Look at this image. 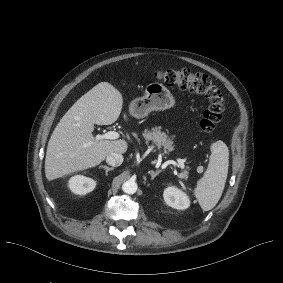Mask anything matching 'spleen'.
Returning <instances> with one entry per match:
<instances>
[{
    "mask_svg": "<svg viewBox=\"0 0 283 283\" xmlns=\"http://www.w3.org/2000/svg\"><path fill=\"white\" fill-rule=\"evenodd\" d=\"M210 161L204 176L197 182L194 194L203 211H209L216 206L225 187L229 151L223 141H217L210 147Z\"/></svg>",
    "mask_w": 283,
    "mask_h": 283,
    "instance_id": "spleen-1",
    "label": "spleen"
}]
</instances>
